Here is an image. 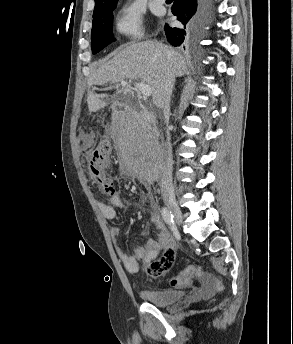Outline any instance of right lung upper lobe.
Returning a JSON list of instances; mask_svg holds the SVG:
<instances>
[{
    "label": "right lung upper lobe",
    "instance_id": "obj_1",
    "mask_svg": "<svg viewBox=\"0 0 293 344\" xmlns=\"http://www.w3.org/2000/svg\"><path fill=\"white\" fill-rule=\"evenodd\" d=\"M116 2H118V0H95V9L102 8Z\"/></svg>",
    "mask_w": 293,
    "mask_h": 344
}]
</instances>
